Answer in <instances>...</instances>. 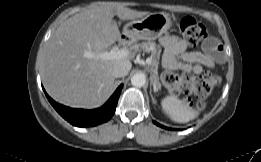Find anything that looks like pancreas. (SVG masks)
<instances>
[{
	"label": "pancreas",
	"mask_w": 261,
	"mask_h": 162,
	"mask_svg": "<svg viewBox=\"0 0 261 162\" xmlns=\"http://www.w3.org/2000/svg\"><path fill=\"white\" fill-rule=\"evenodd\" d=\"M139 47L143 51L151 53V79L156 89H160L161 83L159 82L158 76V64L160 59L161 47L157 45L155 42L151 41L142 42L141 44H139Z\"/></svg>",
	"instance_id": "pancreas-1"
}]
</instances>
